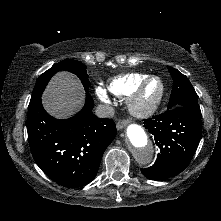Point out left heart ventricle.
Wrapping results in <instances>:
<instances>
[{
    "label": "left heart ventricle",
    "instance_id": "left-heart-ventricle-1",
    "mask_svg": "<svg viewBox=\"0 0 221 221\" xmlns=\"http://www.w3.org/2000/svg\"><path fill=\"white\" fill-rule=\"evenodd\" d=\"M160 92V83L158 80L150 81L144 89L142 100L144 103H151L156 99Z\"/></svg>",
    "mask_w": 221,
    "mask_h": 221
}]
</instances>
